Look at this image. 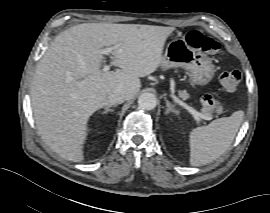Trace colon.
Here are the masks:
<instances>
[{
	"mask_svg": "<svg viewBox=\"0 0 270 213\" xmlns=\"http://www.w3.org/2000/svg\"><path fill=\"white\" fill-rule=\"evenodd\" d=\"M186 40L193 48H201L203 51L209 54H223V49L215 39L205 37L198 31H190L187 34ZM241 75L237 70L229 71L224 73L221 78V85L223 88L233 93L235 92L240 84ZM202 113L205 116H215L220 113L222 109L221 102L213 95L206 94L201 98Z\"/></svg>",
	"mask_w": 270,
	"mask_h": 213,
	"instance_id": "1",
	"label": "colon"
}]
</instances>
